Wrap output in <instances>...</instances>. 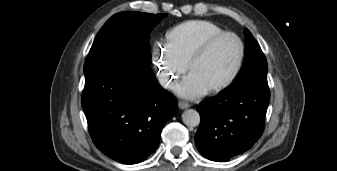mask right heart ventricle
<instances>
[{"instance_id": "1", "label": "right heart ventricle", "mask_w": 337, "mask_h": 171, "mask_svg": "<svg viewBox=\"0 0 337 171\" xmlns=\"http://www.w3.org/2000/svg\"><path fill=\"white\" fill-rule=\"evenodd\" d=\"M222 32L224 29L212 21L188 20L168 31L165 44L181 61L187 64L202 42Z\"/></svg>"}]
</instances>
